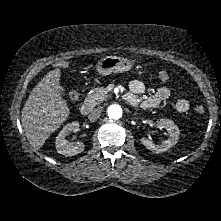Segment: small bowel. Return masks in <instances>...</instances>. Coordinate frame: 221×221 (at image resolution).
Masks as SVG:
<instances>
[{
    "label": "small bowel",
    "mask_w": 221,
    "mask_h": 221,
    "mask_svg": "<svg viewBox=\"0 0 221 221\" xmlns=\"http://www.w3.org/2000/svg\"><path fill=\"white\" fill-rule=\"evenodd\" d=\"M165 72H160V76H164ZM145 84L140 80H133L130 83V95H132L135 99V103L132 104L133 106L139 107L143 110H148L157 107L161 102L167 100L170 95V89L168 87H161L157 89V91L146 98L143 101L139 100V95L143 94L145 91ZM175 107L177 111L184 113L189 110V102L184 98H178L176 100Z\"/></svg>",
    "instance_id": "small-bowel-1"
}]
</instances>
